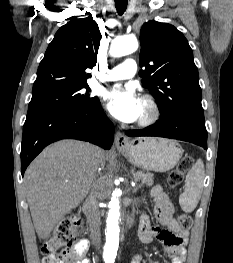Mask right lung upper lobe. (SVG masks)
I'll return each instance as SVG.
<instances>
[{
  "label": "right lung upper lobe",
  "mask_w": 233,
  "mask_h": 263,
  "mask_svg": "<svg viewBox=\"0 0 233 263\" xmlns=\"http://www.w3.org/2000/svg\"><path fill=\"white\" fill-rule=\"evenodd\" d=\"M101 33L91 18L75 19L62 26L40 62L32 96L87 84V68L97 62Z\"/></svg>",
  "instance_id": "right-lung-upper-lobe-1"
}]
</instances>
